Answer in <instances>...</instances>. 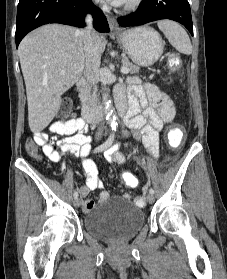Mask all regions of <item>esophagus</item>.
<instances>
[{
	"label": "esophagus",
	"instance_id": "1",
	"mask_svg": "<svg viewBox=\"0 0 227 279\" xmlns=\"http://www.w3.org/2000/svg\"><path fill=\"white\" fill-rule=\"evenodd\" d=\"M107 20H108V24H109L111 33H118L120 30H119V27H118V24H117V21L115 20V18L107 15Z\"/></svg>",
	"mask_w": 227,
	"mask_h": 279
}]
</instances>
